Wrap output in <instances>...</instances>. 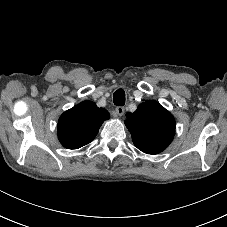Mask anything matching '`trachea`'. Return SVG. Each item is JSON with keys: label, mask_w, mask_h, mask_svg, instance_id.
Here are the masks:
<instances>
[{"label": "trachea", "mask_w": 227, "mask_h": 227, "mask_svg": "<svg viewBox=\"0 0 227 227\" xmlns=\"http://www.w3.org/2000/svg\"><path fill=\"white\" fill-rule=\"evenodd\" d=\"M114 104L117 106H123L125 104V92L123 89H118L113 94Z\"/></svg>", "instance_id": "obj_1"}]
</instances>
